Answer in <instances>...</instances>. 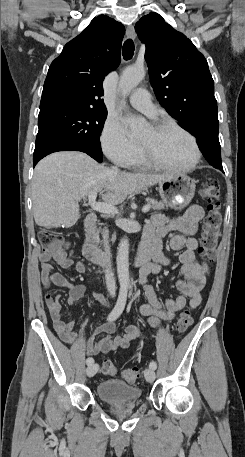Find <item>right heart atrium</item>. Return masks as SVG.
I'll return each mask as SVG.
<instances>
[{"mask_svg": "<svg viewBox=\"0 0 245 457\" xmlns=\"http://www.w3.org/2000/svg\"><path fill=\"white\" fill-rule=\"evenodd\" d=\"M100 140L106 155L117 163L126 164L137 153V145L116 118L106 119Z\"/></svg>", "mask_w": 245, "mask_h": 457, "instance_id": "d8ad5b80", "label": "right heart atrium"}]
</instances>
